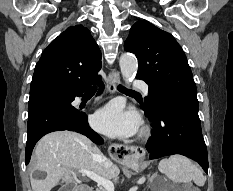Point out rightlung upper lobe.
Here are the masks:
<instances>
[{"label": "right lung upper lobe", "mask_w": 233, "mask_h": 191, "mask_svg": "<svg viewBox=\"0 0 233 191\" xmlns=\"http://www.w3.org/2000/svg\"><path fill=\"white\" fill-rule=\"evenodd\" d=\"M101 69V52L90 31L69 27L44 50L36 64L30 94L40 90L68 93L85 90Z\"/></svg>", "instance_id": "obj_1"}]
</instances>
